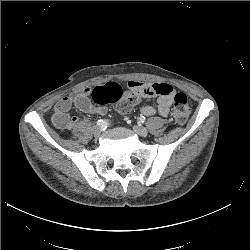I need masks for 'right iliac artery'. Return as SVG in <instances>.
I'll return each instance as SVG.
<instances>
[{
	"instance_id": "right-iliac-artery-1",
	"label": "right iliac artery",
	"mask_w": 250,
	"mask_h": 250,
	"mask_svg": "<svg viewBox=\"0 0 250 250\" xmlns=\"http://www.w3.org/2000/svg\"><path fill=\"white\" fill-rule=\"evenodd\" d=\"M96 124L101 128H107L108 122L106 120H98Z\"/></svg>"
}]
</instances>
